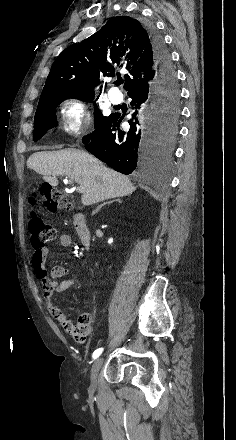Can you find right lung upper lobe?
Wrapping results in <instances>:
<instances>
[{
	"label": "right lung upper lobe",
	"instance_id": "right-lung-upper-lobe-1",
	"mask_svg": "<svg viewBox=\"0 0 236 440\" xmlns=\"http://www.w3.org/2000/svg\"><path fill=\"white\" fill-rule=\"evenodd\" d=\"M125 70L126 91L149 85L156 78V62L149 34L136 19L118 16L97 33L63 50L54 61L40 100L66 93H93L99 76Z\"/></svg>",
	"mask_w": 236,
	"mask_h": 440
}]
</instances>
